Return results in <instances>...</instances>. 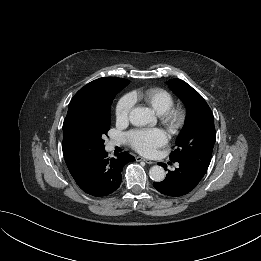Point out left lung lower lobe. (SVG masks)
<instances>
[{
  "mask_svg": "<svg viewBox=\"0 0 261 261\" xmlns=\"http://www.w3.org/2000/svg\"><path fill=\"white\" fill-rule=\"evenodd\" d=\"M166 169V164L158 163ZM174 171H168L165 180L154 182L153 186L161 194L171 197H181L191 192L203 178L193 167L185 162H178Z\"/></svg>",
  "mask_w": 261,
  "mask_h": 261,
  "instance_id": "obj_1",
  "label": "left lung lower lobe"
}]
</instances>
